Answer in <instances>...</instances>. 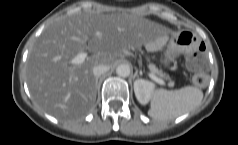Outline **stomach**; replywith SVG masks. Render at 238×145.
<instances>
[{
  "mask_svg": "<svg viewBox=\"0 0 238 145\" xmlns=\"http://www.w3.org/2000/svg\"><path fill=\"white\" fill-rule=\"evenodd\" d=\"M196 42H201L200 37L195 32H180L174 34L169 40V48L165 53L163 63L168 64L173 59V54H191Z\"/></svg>",
  "mask_w": 238,
  "mask_h": 145,
  "instance_id": "obj_1",
  "label": "stomach"
}]
</instances>
